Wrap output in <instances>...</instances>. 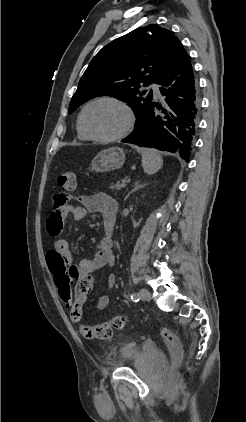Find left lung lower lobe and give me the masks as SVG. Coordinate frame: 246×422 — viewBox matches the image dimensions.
<instances>
[{"label": "left lung lower lobe", "mask_w": 246, "mask_h": 422, "mask_svg": "<svg viewBox=\"0 0 246 422\" xmlns=\"http://www.w3.org/2000/svg\"><path fill=\"white\" fill-rule=\"evenodd\" d=\"M158 84L160 93L166 96L164 106L152 101L122 142L178 153L189 162L200 98L190 57L183 47ZM155 108L164 116L155 114Z\"/></svg>", "instance_id": "1"}]
</instances>
